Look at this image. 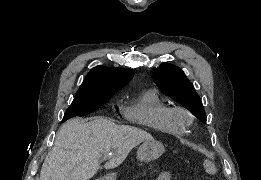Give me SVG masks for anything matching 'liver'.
I'll list each match as a JSON object with an SVG mask.
<instances>
[{
	"label": "liver",
	"mask_w": 261,
	"mask_h": 180,
	"mask_svg": "<svg viewBox=\"0 0 261 180\" xmlns=\"http://www.w3.org/2000/svg\"><path fill=\"white\" fill-rule=\"evenodd\" d=\"M72 118L61 126L46 156L39 180H90L100 168V158L113 154L103 168L120 166L135 146L153 140L151 134L117 126L106 118Z\"/></svg>",
	"instance_id": "obj_1"
}]
</instances>
